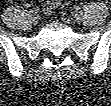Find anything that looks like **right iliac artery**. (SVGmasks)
<instances>
[{
  "label": "right iliac artery",
  "instance_id": "obj_1",
  "mask_svg": "<svg viewBox=\"0 0 111 106\" xmlns=\"http://www.w3.org/2000/svg\"><path fill=\"white\" fill-rule=\"evenodd\" d=\"M39 11H40L39 7H35V8H33V11H32V12L36 14V13H38Z\"/></svg>",
  "mask_w": 111,
  "mask_h": 106
}]
</instances>
